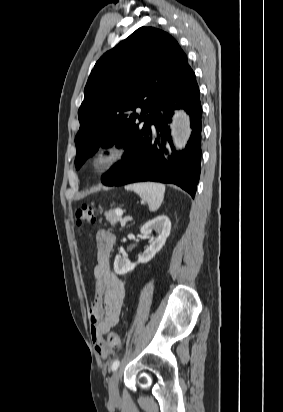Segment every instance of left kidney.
<instances>
[{
  "label": "left kidney",
  "instance_id": "left-kidney-1",
  "mask_svg": "<svg viewBox=\"0 0 283 412\" xmlns=\"http://www.w3.org/2000/svg\"><path fill=\"white\" fill-rule=\"evenodd\" d=\"M171 221L165 215H160L145 223L140 231L143 236H150L152 231L158 235L150 240L149 247L139 256L136 263H131L124 255H117L114 261V271L116 274L123 275L132 271L137 264L147 263L161 250L167 237L170 234Z\"/></svg>",
  "mask_w": 283,
  "mask_h": 412
}]
</instances>
